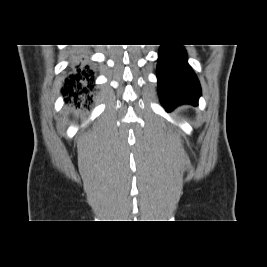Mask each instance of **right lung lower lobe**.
Masks as SVG:
<instances>
[{"mask_svg":"<svg viewBox=\"0 0 267 267\" xmlns=\"http://www.w3.org/2000/svg\"><path fill=\"white\" fill-rule=\"evenodd\" d=\"M92 75L93 71L85 65L84 58H75L68 69V74L61 88V93L65 97L64 100L79 106L93 88L94 79Z\"/></svg>","mask_w":267,"mask_h":267,"instance_id":"98d812e1","label":"right lung lower lobe"}]
</instances>
